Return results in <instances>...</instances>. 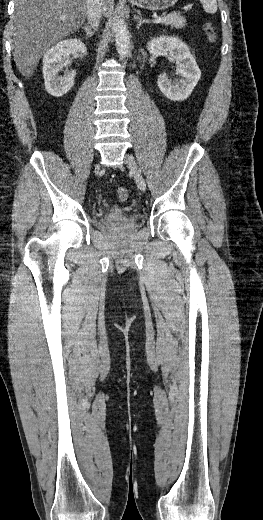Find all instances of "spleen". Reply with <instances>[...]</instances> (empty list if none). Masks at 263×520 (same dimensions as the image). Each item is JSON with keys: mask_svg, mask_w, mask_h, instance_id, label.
<instances>
[{"mask_svg": "<svg viewBox=\"0 0 263 520\" xmlns=\"http://www.w3.org/2000/svg\"><path fill=\"white\" fill-rule=\"evenodd\" d=\"M203 5L204 10L207 13L214 14L217 11V1L216 0H200Z\"/></svg>", "mask_w": 263, "mask_h": 520, "instance_id": "obj_1", "label": "spleen"}]
</instances>
